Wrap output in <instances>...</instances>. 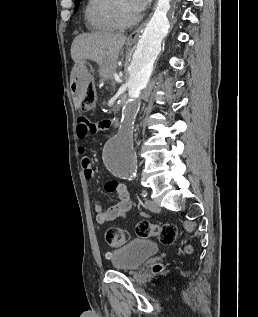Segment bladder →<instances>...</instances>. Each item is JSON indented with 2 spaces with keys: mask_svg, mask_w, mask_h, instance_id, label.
<instances>
[{
  "mask_svg": "<svg viewBox=\"0 0 258 317\" xmlns=\"http://www.w3.org/2000/svg\"><path fill=\"white\" fill-rule=\"evenodd\" d=\"M158 251L159 246L155 242L134 239L112 252L111 264L116 270H135Z\"/></svg>",
  "mask_w": 258,
  "mask_h": 317,
  "instance_id": "31cf9c89",
  "label": "bladder"
}]
</instances>
